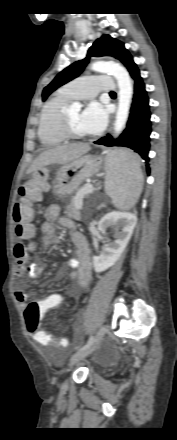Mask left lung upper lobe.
<instances>
[{"label": "left lung upper lobe", "mask_w": 177, "mask_h": 440, "mask_svg": "<svg viewBox=\"0 0 177 440\" xmlns=\"http://www.w3.org/2000/svg\"><path fill=\"white\" fill-rule=\"evenodd\" d=\"M92 56L115 57L125 65L129 72H131L136 67L132 56L130 55L128 50L125 49L122 42L112 38L110 35H103L101 38L97 39L89 48L87 57L85 59L77 61L65 68L54 78V80L48 86L44 88L42 93L43 101H45L46 98L54 90L79 76L89 62V58Z\"/></svg>", "instance_id": "5c2ea615"}]
</instances>
